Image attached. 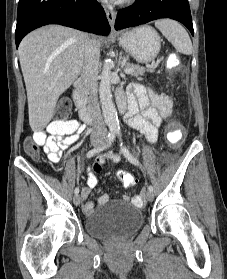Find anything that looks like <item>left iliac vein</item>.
<instances>
[{
  "label": "left iliac vein",
  "instance_id": "1",
  "mask_svg": "<svg viewBox=\"0 0 227 279\" xmlns=\"http://www.w3.org/2000/svg\"><path fill=\"white\" fill-rule=\"evenodd\" d=\"M146 198H147L148 201H153V199H154L153 192L152 191H147Z\"/></svg>",
  "mask_w": 227,
  "mask_h": 279
}]
</instances>
